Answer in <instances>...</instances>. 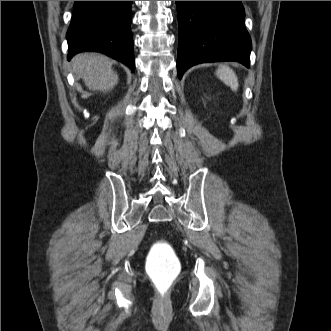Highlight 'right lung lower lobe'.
<instances>
[{"instance_id": "1", "label": "right lung lower lobe", "mask_w": 331, "mask_h": 331, "mask_svg": "<svg viewBox=\"0 0 331 331\" xmlns=\"http://www.w3.org/2000/svg\"><path fill=\"white\" fill-rule=\"evenodd\" d=\"M131 4L132 1H75L67 31L68 60L82 51H97L134 72Z\"/></svg>"}]
</instances>
